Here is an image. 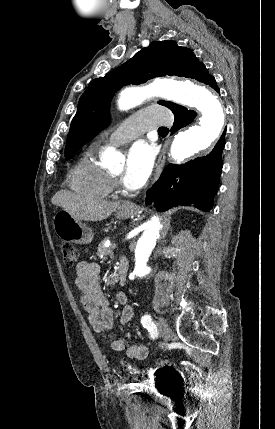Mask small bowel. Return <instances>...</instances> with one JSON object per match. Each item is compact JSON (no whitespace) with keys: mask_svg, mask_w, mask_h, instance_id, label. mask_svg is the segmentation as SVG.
<instances>
[{"mask_svg":"<svg viewBox=\"0 0 275 429\" xmlns=\"http://www.w3.org/2000/svg\"><path fill=\"white\" fill-rule=\"evenodd\" d=\"M75 285L87 313L88 321L94 331L98 333L109 331L113 327V312L100 284L99 265L81 261L76 267ZM117 299L123 305L119 321L122 326H125L133 320L135 308L125 294L118 293ZM129 338L130 334L126 333L124 336L113 340L111 348L116 352L126 351L130 359H145L148 356L147 346L143 344L128 345Z\"/></svg>","mask_w":275,"mask_h":429,"instance_id":"obj_1","label":"small bowel"}]
</instances>
